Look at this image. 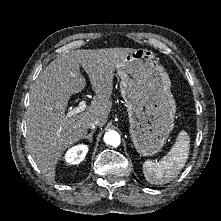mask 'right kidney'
I'll return each instance as SVG.
<instances>
[{"instance_id":"right-kidney-1","label":"right kidney","mask_w":221,"mask_h":221,"mask_svg":"<svg viewBox=\"0 0 221 221\" xmlns=\"http://www.w3.org/2000/svg\"><path fill=\"white\" fill-rule=\"evenodd\" d=\"M88 152V146L79 144L71 147L65 154V161L68 164H79L82 162Z\"/></svg>"}]
</instances>
